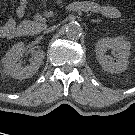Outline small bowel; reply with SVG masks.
<instances>
[{
	"mask_svg": "<svg viewBox=\"0 0 135 135\" xmlns=\"http://www.w3.org/2000/svg\"><path fill=\"white\" fill-rule=\"evenodd\" d=\"M81 7L90 11H99L107 18L116 19L120 16L119 10L111 4H101L98 2H88L82 4ZM26 11L25 0H19L16 8V16L18 18L23 17ZM17 24L13 16H10L6 23L0 25V38H11L17 35Z\"/></svg>",
	"mask_w": 135,
	"mask_h": 135,
	"instance_id": "obj_1",
	"label": "small bowel"
}]
</instances>
